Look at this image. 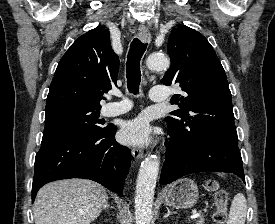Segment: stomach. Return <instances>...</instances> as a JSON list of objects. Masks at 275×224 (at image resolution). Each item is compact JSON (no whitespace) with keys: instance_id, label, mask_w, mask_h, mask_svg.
<instances>
[{"instance_id":"obj_1","label":"stomach","mask_w":275,"mask_h":224,"mask_svg":"<svg viewBox=\"0 0 275 224\" xmlns=\"http://www.w3.org/2000/svg\"><path fill=\"white\" fill-rule=\"evenodd\" d=\"M199 199L196 183L189 178H182L165 188L164 203L177 209L192 208Z\"/></svg>"}]
</instances>
